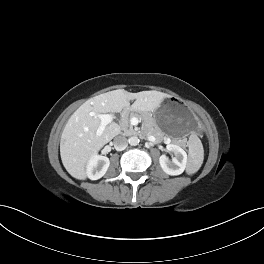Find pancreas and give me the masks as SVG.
<instances>
[{"instance_id":"obj_1","label":"pancreas","mask_w":264,"mask_h":264,"mask_svg":"<svg viewBox=\"0 0 264 264\" xmlns=\"http://www.w3.org/2000/svg\"><path fill=\"white\" fill-rule=\"evenodd\" d=\"M132 117H138V118H141L142 120H144V117L142 115L135 113V112L126 111L123 114V117L121 120V128L124 131V133L127 135L135 133L133 126L130 124V119ZM144 121L147 125V134L148 135H153L159 140L163 139V134H162L161 130L156 126V124L153 121H151V120H144Z\"/></svg>"}]
</instances>
